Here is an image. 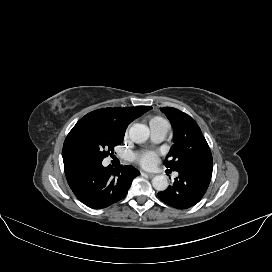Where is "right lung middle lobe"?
Instances as JSON below:
<instances>
[{
    "label": "right lung middle lobe",
    "instance_id": "dd1d6c3e",
    "mask_svg": "<svg viewBox=\"0 0 272 272\" xmlns=\"http://www.w3.org/2000/svg\"><path fill=\"white\" fill-rule=\"evenodd\" d=\"M124 131L113 124L91 116L81 118L65 139L64 162L102 163L124 139Z\"/></svg>",
    "mask_w": 272,
    "mask_h": 272
}]
</instances>
